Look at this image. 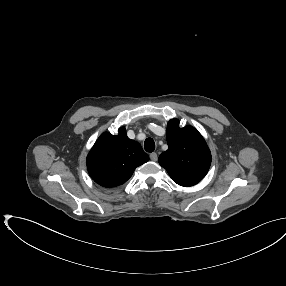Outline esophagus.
Segmentation results:
<instances>
[{
  "label": "esophagus",
  "mask_w": 286,
  "mask_h": 286,
  "mask_svg": "<svg viewBox=\"0 0 286 286\" xmlns=\"http://www.w3.org/2000/svg\"><path fill=\"white\" fill-rule=\"evenodd\" d=\"M150 159L152 161H157V159H158L157 153H155V152L151 153L150 154Z\"/></svg>",
  "instance_id": "34e87169"
}]
</instances>
